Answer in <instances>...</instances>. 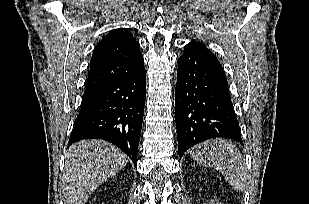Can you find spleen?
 I'll return each instance as SVG.
<instances>
[{
	"label": "spleen",
	"mask_w": 309,
	"mask_h": 204,
	"mask_svg": "<svg viewBox=\"0 0 309 204\" xmlns=\"http://www.w3.org/2000/svg\"><path fill=\"white\" fill-rule=\"evenodd\" d=\"M190 157L200 165L219 171L234 190L245 189L248 179L246 165L240 151L230 141H205L190 150Z\"/></svg>",
	"instance_id": "spleen-1"
}]
</instances>
